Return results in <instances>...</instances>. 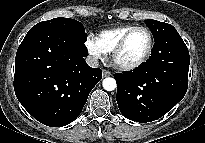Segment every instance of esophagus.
<instances>
[{"label":"esophagus","mask_w":205,"mask_h":143,"mask_svg":"<svg viewBox=\"0 0 205 143\" xmlns=\"http://www.w3.org/2000/svg\"><path fill=\"white\" fill-rule=\"evenodd\" d=\"M102 75H103V77H107V76H111L112 73H111L110 71L104 69V70L102 71Z\"/></svg>","instance_id":"34e87169"}]
</instances>
